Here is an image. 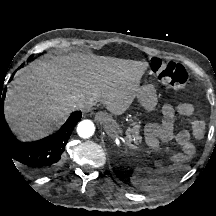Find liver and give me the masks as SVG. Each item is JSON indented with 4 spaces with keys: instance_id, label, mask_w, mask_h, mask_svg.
<instances>
[{
    "instance_id": "obj_1",
    "label": "liver",
    "mask_w": 216,
    "mask_h": 216,
    "mask_svg": "<svg viewBox=\"0 0 216 216\" xmlns=\"http://www.w3.org/2000/svg\"><path fill=\"white\" fill-rule=\"evenodd\" d=\"M148 64L82 54L46 55L24 68L12 81L5 116L21 139L41 138L66 119L77 99L106 104L116 113L126 109L139 91Z\"/></svg>"
}]
</instances>
